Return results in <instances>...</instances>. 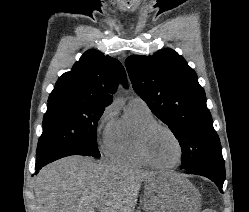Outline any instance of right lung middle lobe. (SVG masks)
<instances>
[{
    "label": "right lung middle lobe",
    "instance_id": "1",
    "mask_svg": "<svg viewBox=\"0 0 249 212\" xmlns=\"http://www.w3.org/2000/svg\"><path fill=\"white\" fill-rule=\"evenodd\" d=\"M104 110L105 106L79 99L48 100L36 157L67 151L100 157L96 131Z\"/></svg>",
    "mask_w": 249,
    "mask_h": 212
}]
</instances>
